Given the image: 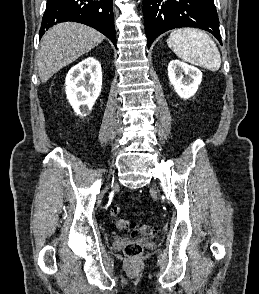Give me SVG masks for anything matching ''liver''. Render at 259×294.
I'll return each mask as SVG.
<instances>
[{
    "mask_svg": "<svg viewBox=\"0 0 259 294\" xmlns=\"http://www.w3.org/2000/svg\"><path fill=\"white\" fill-rule=\"evenodd\" d=\"M104 36L80 23L64 22L50 28L43 36L37 56L42 83L56 72L99 45Z\"/></svg>",
    "mask_w": 259,
    "mask_h": 294,
    "instance_id": "1",
    "label": "liver"
}]
</instances>
